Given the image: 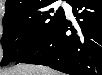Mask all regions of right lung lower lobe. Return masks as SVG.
<instances>
[{"label":"right lung lower lobe","instance_id":"obj_1","mask_svg":"<svg viewBox=\"0 0 102 75\" xmlns=\"http://www.w3.org/2000/svg\"><path fill=\"white\" fill-rule=\"evenodd\" d=\"M76 22L64 19L18 63L40 64L70 75L102 74V1L68 0ZM80 11V12H79ZM71 31L70 35L66 32Z\"/></svg>","mask_w":102,"mask_h":75}]
</instances>
